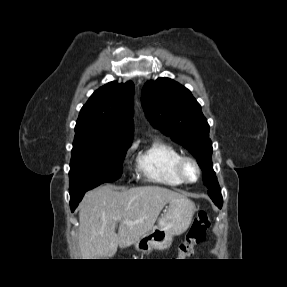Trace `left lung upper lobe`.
I'll list each match as a JSON object with an SVG mask.
<instances>
[{
	"label": "left lung upper lobe",
	"instance_id": "obj_1",
	"mask_svg": "<svg viewBox=\"0 0 287 287\" xmlns=\"http://www.w3.org/2000/svg\"><path fill=\"white\" fill-rule=\"evenodd\" d=\"M141 101L151 124L196 157L208 195L222 206L221 189L212 168L209 125L191 92L170 78H158L145 83Z\"/></svg>",
	"mask_w": 287,
	"mask_h": 287
}]
</instances>
